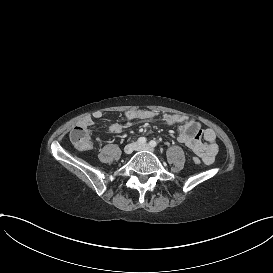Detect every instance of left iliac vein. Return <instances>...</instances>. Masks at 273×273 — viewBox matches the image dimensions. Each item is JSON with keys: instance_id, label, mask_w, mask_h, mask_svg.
I'll return each mask as SVG.
<instances>
[{"instance_id": "obj_1", "label": "left iliac vein", "mask_w": 273, "mask_h": 273, "mask_svg": "<svg viewBox=\"0 0 273 273\" xmlns=\"http://www.w3.org/2000/svg\"><path fill=\"white\" fill-rule=\"evenodd\" d=\"M135 150L137 151H140V150H147V151H150V152H154V149L148 145V144H141V145H138Z\"/></svg>"}]
</instances>
